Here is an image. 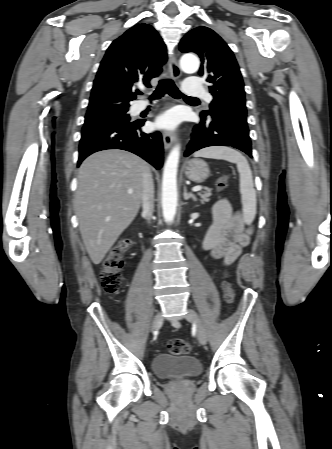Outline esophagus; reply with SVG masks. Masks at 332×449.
<instances>
[{
    "mask_svg": "<svg viewBox=\"0 0 332 449\" xmlns=\"http://www.w3.org/2000/svg\"><path fill=\"white\" fill-rule=\"evenodd\" d=\"M169 72L174 80L179 79L181 76V70L179 68L175 55H173L169 59ZM175 140H176L175 133L166 131L163 132V143L166 150H168L174 144Z\"/></svg>",
    "mask_w": 332,
    "mask_h": 449,
    "instance_id": "esophagus-1",
    "label": "esophagus"
}]
</instances>
